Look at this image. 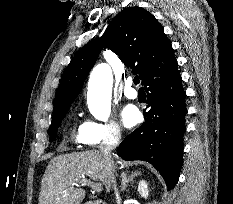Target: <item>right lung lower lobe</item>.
<instances>
[{
  "instance_id": "98d812e1",
  "label": "right lung lower lobe",
  "mask_w": 233,
  "mask_h": 204,
  "mask_svg": "<svg viewBox=\"0 0 233 204\" xmlns=\"http://www.w3.org/2000/svg\"><path fill=\"white\" fill-rule=\"evenodd\" d=\"M144 87L150 110L144 112L145 122L123 140L117 153L125 160L151 163L171 189L183 163L187 115L186 93L177 63L152 76Z\"/></svg>"
}]
</instances>
